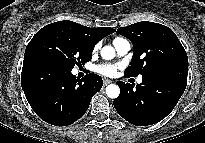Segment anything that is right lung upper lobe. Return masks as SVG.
Returning <instances> with one entry per match:
<instances>
[{"label": "right lung upper lobe", "instance_id": "obj_1", "mask_svg": "<svg viewBox=\"0 0 205 143\" xmlns=\"http://www.w3.org/2000/svg\"><path fill=\"white\" fill-rule=\"evenodd\" d=\"M77 29H79L84 36L95 46V44L100 41L105 36L115 32V29L109 27H98V28H89L73 21H69Z\"/></svg>", "mask_w": 205, "mask_h": 143}]
</instances>
